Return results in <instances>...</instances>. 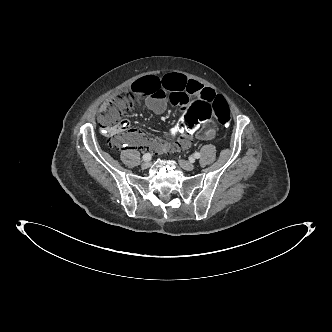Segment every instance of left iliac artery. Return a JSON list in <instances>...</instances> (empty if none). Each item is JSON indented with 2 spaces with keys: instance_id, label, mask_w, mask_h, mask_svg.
<instances>
[{
  "instance_id": "44dca946",
  "label": "left iliac artery",
  "mask_w": 332,
  "mask_h": 332,
  "mask_svg": "<svg viewBox=\"0 0 332 332\" xmlns=\"http://www.w3.org/2000/svg\"><path fill=\"white\" fill-rule=\"evenodd\" d=\"M200 156H201L200 153L196 152V153L193 154V156L190 157V160L193 161L194 158L199 159Z\"/></svg>"
}]
</instances>
